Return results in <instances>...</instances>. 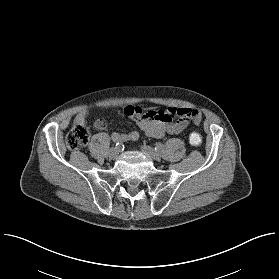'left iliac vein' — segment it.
Listing matches in <instances>:
<instances>
[{
    "label": "left iliac vein",
    "instance_id": "4c4485c4",
    "mask_svg": "<svg viewBox=\"0 0 279 279\" xmlns=\"http://www.w3.org/2000/svg\"><path fill=\"white\" fill-rule=\"evenodd\" d=\"M141 151L153 160L159 161L161 159V155L150 146H141Z\"/></svg>",
    "mask_w": 279,
    "mask_h": 279
}]
</instances>
